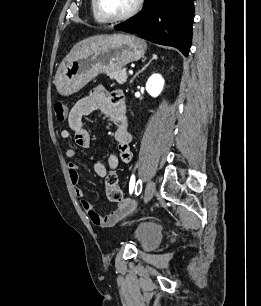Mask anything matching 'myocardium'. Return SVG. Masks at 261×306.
<instances>
[{
    "mask_svg": "<svg viewBox=\"0 0 261 306\" xmlns=\"http://www.w3.org/2000/svg\"><path fill=\"white\" fill-rule=\"evenodd\" d=\"M144 0H136L134 6L125 14L120 15V16H109L107 15L102 7H101V3L100 0H94V8L96 13L98 14V16L105 22H121V21H125L131 17H133L142 7Z\"/></svg>",
    "mask_w": 261,
    "mask_h": 306,
    "instance_id": "obj_1",
    "label": "myocardium"
}]
</instances>
